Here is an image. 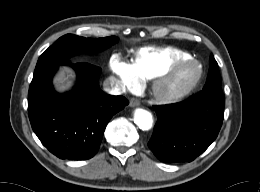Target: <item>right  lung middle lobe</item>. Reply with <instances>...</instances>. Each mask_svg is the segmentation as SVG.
Wrapping results in <instances>:
<instances>
[{"label":"right lung middle lobe","mask_w":260,"mask_h":192,"mask_svg":"<svg viewBox=\"0 0 260 192\" xmlns=\"http://www.w3.org/2000/svg\"><path fill=\"white\" fill-rule=\"evenodd\" d=\"M118 40L115 36L91 39L73 34H66L60 37L52 46H50L38 59L35 72L41 68L52 64L67 61V59L80 52H98Z\"/></svg>","instance_id":"obj_1"}]
</instances>
